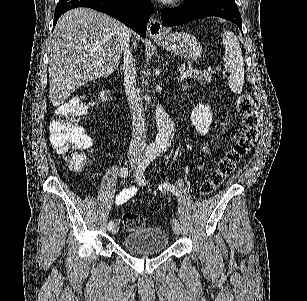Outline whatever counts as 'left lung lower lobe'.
<instances>
[{
	"label": "left lung lower lobe",
	"instance_id": "0a47b994",
	"mask_svg": "<svg viewBox=\"0 0 307 301\" xmlns=\"http://www.w3.org/2000/svg\"><path fill=\"white\" fill-rule=\"evenodd\" d=\"M208 16H217L232 21L242 31L241 15L233 0H197L177 8H166L161 13L162 23L167 27Z\"/></svg>",
	"mask_w": 307,
	"mask_h": 301
}]
</instances>
